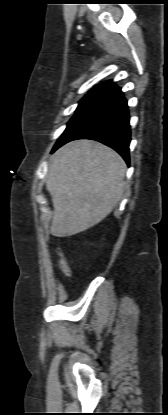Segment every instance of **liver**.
Here are the masks:
<instances>
[{
  "instance_id": "1",
  "label": "liver",
  "mask_w": 168,
  "mask_h": 415,
  "mask_svg": "<svg viewBox=\"0 0 168 415\" xmlns=\"http://www.w3.org/2000/svg\"><path fill=\"white\" fill-rule=\"evenodd\" d=\"M126 169L117 152L96 141H73L56 151L46 180L54 208L50 233L72 236L106 218L122 196Z\"/></svg>"
}]
</instances>
